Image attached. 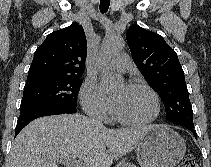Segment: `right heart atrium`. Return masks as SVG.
Masks as SVG:
<instances>
[{"label":"right heart atrium","instance_id":"d8ad5b80","mask_svg":"<svg viewBox=\"0 0 211 167\" xmlns=\"http://www.w3.org/2000/svg\"><path fill=\"white\" fill-rule=\"evenodd\" d=\"M84 110L96 117L105 119L110 113V107L105 97L99 92L95 80L87 79L80 93Z\"/></svg>","mask_w":211,"mask_h":167}]
</instances>
